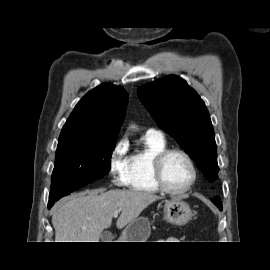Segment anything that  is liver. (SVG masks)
<instances>
[{
	"label": "liver",
	"mask_w": 270,
	"mask_h": 270,
	"mask_svg": "<svg viewBox=\"0 0 270 270\" xmlns=\"http://www.w3.org/2000/svg\"><path fill=\"white\" fill-rule=\"evenodd\" d=\"M159 199L137 190H93L73 195L53 213L55 242H99L103 230L111 226L114 211L121 212L116 222L121 229Z\"/></svg>",
	"instance_id": "obj_1"
}]
</instances>
